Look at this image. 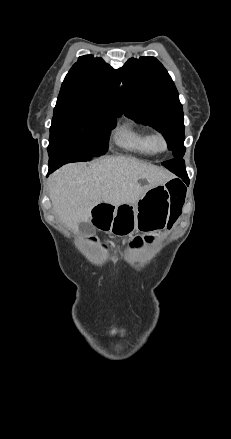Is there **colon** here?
<instances>
[{
    "label": "colon",
    "instance_id": "1",
    "mask_svg": "<svg viewBox=\"0 0 231 439\" xmlns=\"http://www.w3.org/2000/svg\"><path fill=\"white\" fill-rule=\"evenodd\" d=\"M167 189L171 196V199L176 208V217L179 214V208L181 207L185 197V186L178 181H170L167 185Z\"/></svg>",
    "mask_w": 231,
    "mask_h": 439
}]
</instances>
